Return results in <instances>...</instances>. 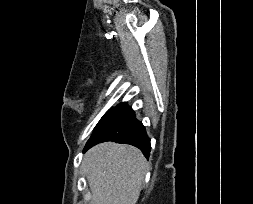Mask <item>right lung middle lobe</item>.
Instances as JSON below:
<instances>
[{
    "mask_svg": "<svg viewBox=\"0 0 253 204\" xmlns=\"http://www.w3.org/2000/svg\"><path fill=\"white\" fill-rule=\"evenodd\" d=\"M121 104H119L116 108H114L112 111H108L99 121V123L97 124V126L95 127V129L113 112L115 111ZM95 131V130H94Z\"/></svg>",
    "mask_w": 253,
    "mask_h": 204,
    "instance_id": "right-lung-middle-lobe-1",
    "label": "right lung middle lobe"
}]
</instances>
